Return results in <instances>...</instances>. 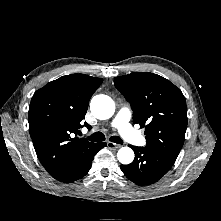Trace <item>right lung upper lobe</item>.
Segmentation results:
<instances>
[{"mask_svg": "<svg viewBox=\"0 0 221 221\" xmlns=\"http://www.w3.org/2000/svg\"><path fill=\"white\" fill-rule=\"evenodd\" d=\"M103 79L71 74L37 90L29 106V132L49 174L82 157L95 143L74 137L82 127L88 103ZM85 126L89 127L87 123Z\"/></svg>", "mask_w": 221, "mask_h": 221, "instance_id": "1", "label": "right lung upper lobe"}]
</instances>
